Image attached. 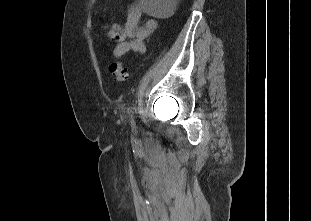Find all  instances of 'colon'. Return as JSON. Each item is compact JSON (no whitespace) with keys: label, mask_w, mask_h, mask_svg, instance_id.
Instances as JSON below:
<instances>
[{"label":"colon","mask_w":311,"mask_h":221,"mask_svg":"<svg viewBox=\"0 0 311 221\" xmlns=\"http://www.w3.org/2000/svg\"><path fill=\"white\" fill-rule=\"evenodd\" d=\"M103 28L111 40L117 42L124 40L122 33L118 31L115 23H106ZM109 72L112 76L113 82L116 84H122L128 78L127 69L119 62L111 63L109 65Z\"/></svg>","instance_id":"1"}]
</instances>
